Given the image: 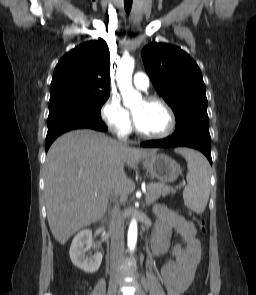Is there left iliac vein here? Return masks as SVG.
Instances as JSON below:
<instances>
[{
	"label": "left iliac vein",
	"instance_id": "1",
	"mask_svg": "<svg viewBox=\"0 0 256 295\" xmlns=\"http://www.w3.org/2000/svg\"><path fill=\"white\" fill-rule=\"evenodd\" d=\"M133 285L137 287L136 295H146L145 292L141 288H139V285L136 281L133 282Z\"/></svg>",
	"mask_w": 256,
	"mask_h": 295
}]
</instances>
